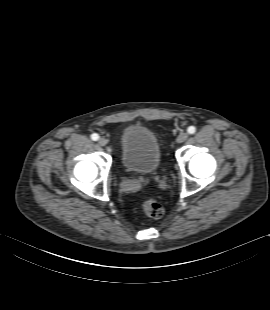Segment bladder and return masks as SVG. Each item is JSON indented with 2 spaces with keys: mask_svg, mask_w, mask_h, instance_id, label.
Instances as JSON below:
<instances>
[{
  "mask_svg": "<svg viewBox=\"0 0 270 310\" xmlns=\"http://www.w3.org/2000/svg\"><path fill=\"white\" fill-rule=\"evenodd\" d=\"M120 160L129 171L150 174L158 170L161 147L155 133L145 126L129 125L121 134Z\"/></svg>",
  "mask_w": 270,
  "mask_h": 310,
  "instance_id": "31cf9c89",
  "label": "bladder"
}]
</instances>
